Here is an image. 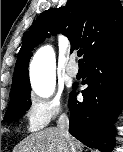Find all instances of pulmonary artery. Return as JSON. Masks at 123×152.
Here are the masks:
<instances>
[{
  "label": "pulmonary artery",
  "mask_w": 123,
  "mask_h": 152,
  "mask_svg": "<svg viewBox=\"0 0 123 152\" xmlns=\"http://www.w3.org/2000/svg\"><path fill=\"white\" fill-rule=\"evenodd\" d=\"M79 72L78 64L76 63L75 56H72L69 64L66 67V73L71 77H76Z\"/></svg>",
  "instance_id": "1"
}]
</instances>
